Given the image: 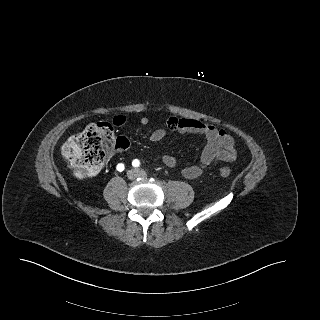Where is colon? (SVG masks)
<instances>
[{
    "label": "colon",
    "instance_id": "obj_1",
    "mask_svg": "<svg viewBox=\"0 0 320 320\" xmlns=\"http://www.w3.org/2000/svg\"><path fill=\"white\" fill-rule=\"evenodd\" d=\"M128 145L127 138L115 136L110 122L101 121L89 124L81 133L70 137L62 147V155L78 177L87 178L98 172L109 152ZM219 174L229 177L231 169L221 166Z\"/></svg>",
    "mask_w": 320,
    "mask_h": 320
}]
</instances>
